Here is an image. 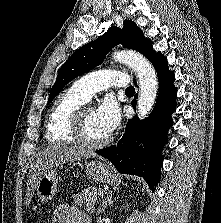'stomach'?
Wrapping results in <instances>:
<instances>
[{
    "label": "stomach",
    "instance_id": "stomach-1",
    "mask_svg": "<svg viewBox=\"0 0 221 223\" xmlns=\"http://www.w3.org/2000/svg\"><path fill=\"white\" fill-rule=\"evenodd\" d=\"M88 177L95 182L112 183L115 181V174L111 166L101 161H91L85 165ZM58 186V174L51 170L41 176L36 190L42 202H49L55 196Z\"/></svg>",
    "mask_w": 221,
    "mask_h": 223
}]
</instances>
